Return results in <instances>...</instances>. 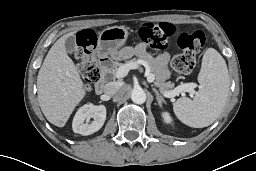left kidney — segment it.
Returning a JSON list of instances; mask_svg holds the SVG:
<instances>
[{"label":"left kidney","mask_w":256,"mask_h":171,"mask_svg":"<svg viewBox=\"0 0 256 171\" xmlns=\"http://www.w3.org/2000/svg\"><path fill=\"white\" fill-rule=\"evenodd\" d=\"M162 118L166 124H172L173 120L168 112H162Z\"/></svg>","instance_id":"5707ae66"}]
</instances>
